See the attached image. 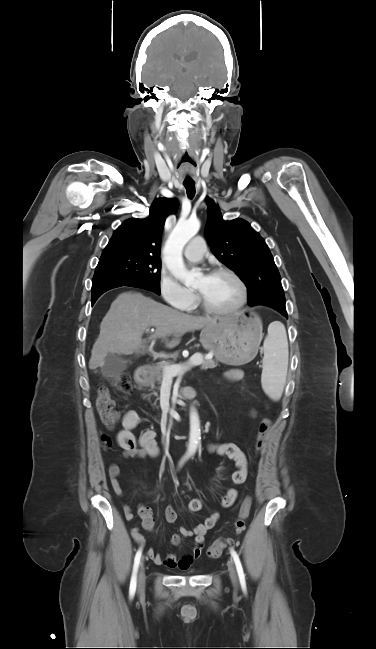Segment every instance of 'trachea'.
Instances as JSON below:
<instances>
[{"mask_svg":"<svg viewBox=\"0 0 376 649\" xmlns=\"http://www.w3.org/2000/svg\"><path fill=\"white\" fill-rule=\"evenodd\" d=\"M184 187L186 188L187 196L190 199H192L196 193L195 183L194 182L184 183Z\"/></svg>","mask_w":376,"mask_h":649,"instance_id":"1","label":"trachea"}]
</instances>
